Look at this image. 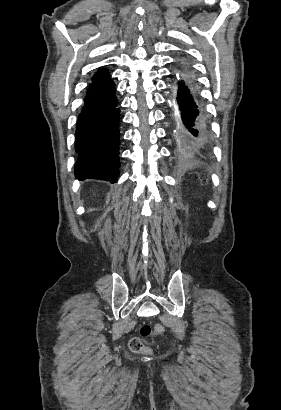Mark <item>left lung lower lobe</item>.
Listing matches in <instances>:
<instances>
[{"label":"left lung lower lobe","instance_id":"obj_1","mask_svg":"<svg viewBox=\"0 0 281 410\" xmlns=\"http://www.w3.org/2000/svg\"><path fill=\"white\" fill-rule=\"evenodd\" d=\"M175 79L173 117L177 126L176 136L193 150H207L211 146V133L194 77L179 70Z\"/></svg>","mask_w":281,"mask_h":410}]
</instances>
